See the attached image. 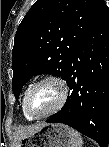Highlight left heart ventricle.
<instances>
[{
  "mask_svg": "<svg viewBox=\"0 0 109 147\" xmlns=\"http://www.w3.org/2000/svg\"><path fill=\"white\" fill-rule=\"evenodd\" d=\"M59 98V88L52 83H46L32 92L28 100V106L32 112L42 114L53 108Z\"/></svg>",
  "mask_w": 109,
  "mask_h": 147,
  "instance_id": "b2bd125f",
  "label": "left heart ventricle"
}]
</instances>
